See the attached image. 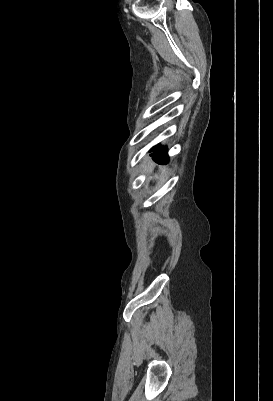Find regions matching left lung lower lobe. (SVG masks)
Here are the masks:
<instances>
[{
  "mask_svg": "<svg viewBox=\"0 0 273 401\" xmlns=\"http://www.w3.org/2000/svg\"><path fill=\"white\" fill-rule=\"evenodd\" d=\"M150 152H154L152 154L153 160L157 162L158 164L164 165L167 164L168 158H167V148L163 146H155L150 150Z\"/></svg>",
  "mask_w": 273,
  "mask_h": 401,
  "instance_id": "0a47b994",
  "label": "left lung lower lobe"
}]
</instances>
